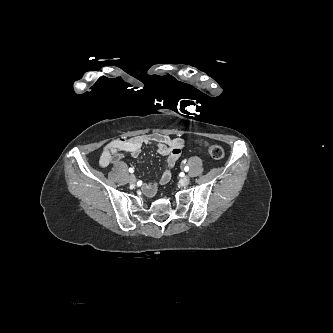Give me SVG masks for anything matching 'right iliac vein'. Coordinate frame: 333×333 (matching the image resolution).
Here are the masks:
<instances>
[{"mask_svg":"<svg viewBox=\"0 0 333 333\" xmlns=\"http://www.w3.org/2000/svg\"><path fill=\"white\" fill-rule=\"evenodd\" d=\"M129 183L134 185L136 183V177L134 175H130L129 178Z\"/></svg>","mask_w":333,"mask_h":333,"instance_id":"right-iliac-vein-1","label":"right iliac vein"}]
</instances>
